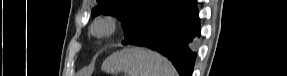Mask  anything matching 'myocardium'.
I'll list each match as a JSON object with an SVG mask.
<instances>
[{
	"mask_svg": "<svg viewBox=\"0 0 287 76\" xmlns=\"http://www.w3.org/2000/svg\"><path fill=\"white\" fill-rule=\"evenodd\" d=\"M116 29V20L113 17H103L94 22L91 33L98 38L111 36Z\"/></svg>",
	"mask_w": 287,
	"mask_h": 76,
	"instance_id": "myocardium-1",
	"label": "myocardium"
}]
</instances>
